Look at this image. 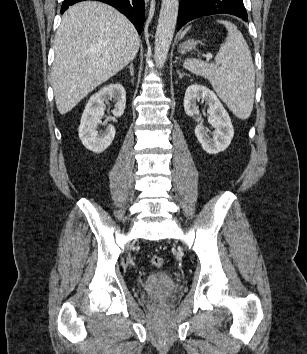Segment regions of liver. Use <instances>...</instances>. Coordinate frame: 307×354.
<instances>
[{
  "mask_svg": "<svg viewBox=\"0 0 307 354\" xmlns=\"http://www.w3.org/2000/svg\"><path fill=\"white\" fill-rule=\"evenodd\" d=\"M140 46L133 24L113 7L76 3L62 16L54 40L52 87L61 115L128 65Z\"/></svg>",
  "mask_w": 307,
  "mask_h": 354,
  "instance_id": "obj_1",
  "label": "liver"
}]
</instances>
